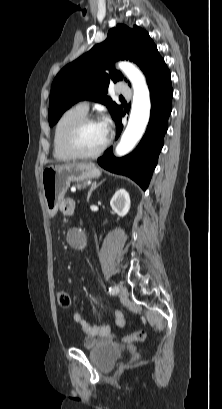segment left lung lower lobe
Segmentation results:
<instances>
[{"mask_svg":"<svg viewBox=\"0 0 222 409\" xmlns=\"http://www.w3.org/2000/svg\"><path fill=\"white\" fill-rule=\"evenodd\" d=\"M148 85L152 105L151 116L147 130L137 148L123 158H115L112 155V148H110L104 156L98 159V164L101 167L110 172L130 177L143 190H146L149 185L168 128L173 95L169 70L166 69L161 72ZM122 112L115 119L116 138L119 137L123 128Z\"/></svg>","mask_w":222,"mask_h":409,"instance_id":"left-lung-lower-lobe-1","label":"left lung lower lobe"}]
</instances>
